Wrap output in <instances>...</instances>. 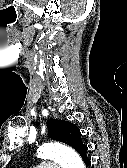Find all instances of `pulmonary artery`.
Segmentation results:
<instances>
[{
  "instance_id": "e3ab8cb5",
  "label": "pulmonary artery",
  "mask_w": 127,
  "mask_h": 168,
  "mask_svg": "<svg viewBox=\"0 0 127 168\" xmlns=\"http://www.w3.org/2000/svg\"><path fill=\"white\" fill-rule=\"evenodd\" d=\"M33 168H60V166L56 163H45Z\"/></svg>"
}]
</instances>
